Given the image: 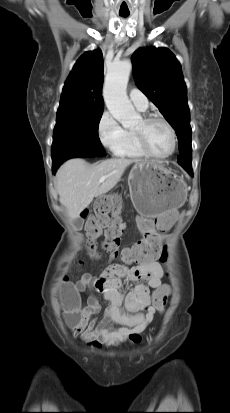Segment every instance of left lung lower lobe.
<instances>
[{
  "label": "left lung lower lobe",
  "instance_id": "0a47b994",
  "mask_svg": "<svg viewBox=\"0 0 230 413\" xmlns=\"http://www.w3.org/2000/svg\"><path fill=\"white\" fill-rule=\"evenodd\" d=\"M191 176H193L192 167L184 166L183 167Z\"/></svg>",
  "mask_w": 230,
  "mask_h": 413
}]
</instances>
